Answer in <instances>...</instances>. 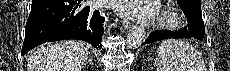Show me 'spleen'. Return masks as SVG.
<instances>
[{"instance_id":"spleen-1","label":"spleen","mask_w":230,"mask_h":71,"mask_svg":"<svg viewBox=\"0 0 230 71\" xmlns=\"http://www.w3.org/2000/svg\"><path fill=\"white\" fill-rule=\"evenodd\" d=\"M157 71H204L202 55L189 42L169 39L158 47Z\"/></svg>"}]
</instances>
